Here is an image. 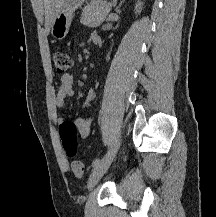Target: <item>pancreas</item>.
Here are the masks:
<instances>
[{
    "instance_id": "cf45deb5",
    "label": "pancreas",
    "mask_w": 216,
    "mask_h": 217,
    "mask_svg": "<svg viewBox=\"0 0 216 217\" xmlns=\"http://www.w3.org/2000/svg\"><path fill=\"white\" fill-rule=\"evenodd\" d=\"M111 6L107 2H91L82 10L81 22L89 27L100 26L109 14Z\"/></svg>"
}]
</instances>
